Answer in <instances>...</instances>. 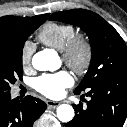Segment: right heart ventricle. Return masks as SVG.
Instances as JSON below:
<instances>
[{
	"mask_svg": "<svg viewBox=\"0 0 127 127\" xmlns=\"http://www.w3.org/2000/svg\"><path fill=\"white\" fill-rule=\"evenodd\" d=\"M75 32L71 24L47 22L40 28L37 38L44 45L62 51Z\"/></svg>",
	"mask_w": 127,
	"mask_h": 127,
	"instance_id": "1",
	"label": "right heart ventricle"
}]
</instances>
